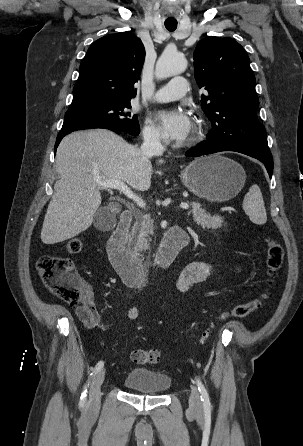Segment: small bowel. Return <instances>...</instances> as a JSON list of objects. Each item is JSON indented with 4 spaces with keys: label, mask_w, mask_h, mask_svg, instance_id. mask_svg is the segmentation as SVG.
I'll return each instance as SVG.
<instances>
[{
    "label": "small bowel",
    "mask_w": 303,
    "mask_h": 446,
    "mask_svg": "<svg viewBox=\"0 0 303 446\" xmlns=\"http://www.w3.org/2000/svg\"><path fill=\"white\" fill-rule=\"evenodd\" d=\"M214 267L211 263L205 261H193L189 263L178 276L176 287L180 292H186L190 287L204 281L212 272ZM86 299L85 302L75 307L74 312L83 325L90 330H106L110 327L101 321L100 314L95 305L91 288L83 285ZM139 316L137 307H131L125 314L128 321L135 320Z\"/></svg>",
    "instance_id": "obj_1"
}]
</instances>
